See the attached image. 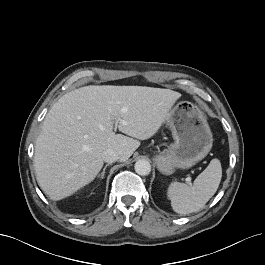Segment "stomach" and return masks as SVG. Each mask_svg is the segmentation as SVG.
Returning a JSON list of instances; mask_svg holds the SVG:
<instances>
[{
  "instance_id": "stomach-1",
  "label": "stomach",
  "mask_w": 265,
  "mask_h": 265,
  "mask_svg": "<svg viewBox=\"0 0 265 265\" xmlns=\"http://www.w3.org/2000/svg\"><path fill=\"white\" fill-rule=\"evenodd\" d=\"M174 142L155 156L158 170L165 175L175 169H188L210 152L213 136L204 113L189 101L176 103L165 121Z\"/></svg>"
}]
</instances>
